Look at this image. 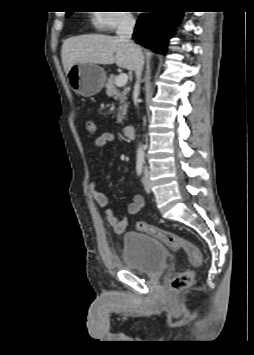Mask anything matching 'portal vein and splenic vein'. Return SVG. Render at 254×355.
<instances>
[{"label":"portal vein and splenic vein","instance_id":"18ae733b","mask_svg":"<svg viewBox=\"0 0 254 355\" xmlns=\"http://www.w3.org/2000/svg\"><path fill=\"white\" fill-rule=\"evenodd\" d=\"M127 81H128L127 74L121 73L120 75L117 76L116 86L117 87H122V86L126 85Z\"/></svg>","mask_w":254,"mask_h":355}]
</instances>
